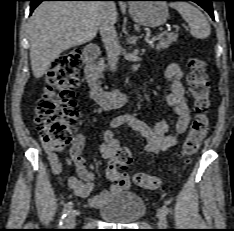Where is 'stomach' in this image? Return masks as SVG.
Instances as JSON below:
<instances>
[{
	"label": "stomach",
	"mask_w": 234,
	"mask_h": 231,
	"mask_svg": "<svg viewBox=\"0 0 234 231\" xmlns=\"http://www.w3.org/2000/svg\"><path fill=\"white\" fill-rule=\"evenodd\" d=\"M129 13L136 23L153 28L167 21L168 7L166 2L157 0L133 2L130 4Z\"/></svg>",
	"instance_id": "stomach-1"
}]
</instances>
